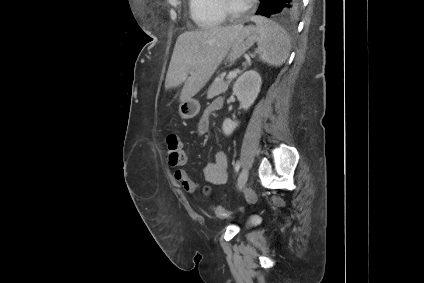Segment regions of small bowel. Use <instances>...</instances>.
Listing matches in <instances>:
<instances>
[{
  "mask_svg": "<svg viewBox=\"0 0 424 283\" xmlns=\"http://www.w3.org/2000/svg\"><path fill=\"white\" fill-rule=\"evenodd\" d=\"M222 104L223 100L221 98H216L206 107L197 123V132L199 134H204L208 131L211 113L218 110ZM175 151L178 152V159L180 158L182 161L174 165L171 163V159L175 155H172V151L167 153L169 165L177 168L174 172V178L186 193L194 194L199 188L198 183L191 179L185 170L179 168L186 164L187 156L182 146ZM204 177L207 182L213 185H221L226 182L228 178V158L224 151H217L214 161L209 162L205 166Z\"/></svg>",
  "mask_w": 424,
  "mask_h": 283,
  "instance_id": "c3829d8e",
  "label": "small bowel"
}]
</instances>
